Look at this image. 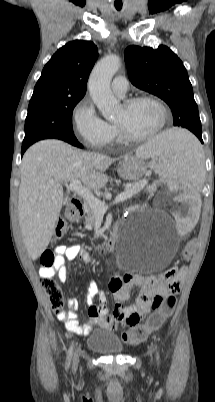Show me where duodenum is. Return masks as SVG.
I'll return each mask as SVG.
<instances>
[{
	"label": "duodenum",
	"mask_w": 215,
	"mask_h": 402,
	"mask_svg": "<svg viewBox=\"0 0 215 402\" xmlns=\"http://www.w3.org/2000/svg\"><path fill=\"white\" fill-rule=\"evenodd\" d=\"M84 214V205L81 200L75 198L71 201L67 209V217L71 221L79 220ZM116 233H112L109 239L98 246V251L100 254H106L110 252L116 242Z\"/></svg>",
	"instance_id": "1"
}]
</instances>
